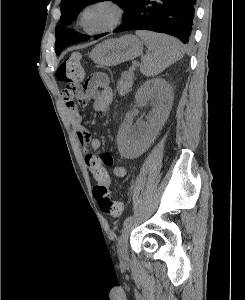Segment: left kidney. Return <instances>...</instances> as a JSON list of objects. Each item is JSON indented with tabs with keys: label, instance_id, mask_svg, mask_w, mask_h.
<instances>
[{
	"label": "left kidney",
	"instance_id": "1",
	"mask_svg": "<svg viewBox=\"0 0 245 300\" xmlns=\"http://www.w3.org/2000/svg\"><path fill=\"white\" fill-rule=\"evenodd\" d=\"M136 104H146L153 100V109L149 117V125L139 127L138 131L131 126V113L125 116V122L118 134V148L124 156H135L140 153L156 137L167 120L171 110L173 92L168 83L161 78L146 81L135 95Z\"/></svg>",
	"mask_w": 245,
	"mask_h": 300
}]
</instances>
